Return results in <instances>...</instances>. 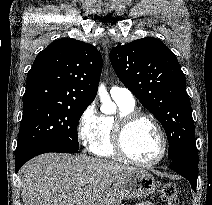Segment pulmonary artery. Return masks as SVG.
<instances>
[{"instance_id":"pulmonary-artery-1","label":"pulmonary artery","mask_w":212,"mask_h":205,"mask_svg":"<svg viewBox=\"0 0 212 205\" xmlns=\"http://www.w3.org/2000/svg\"><path fill=\"white\" fill-rule=\"evenodd\" d=\"M111 97L118 102L133 106L135 98L130 90L123 87H112L110 90Z\"/></svg>"}]
</instances>
